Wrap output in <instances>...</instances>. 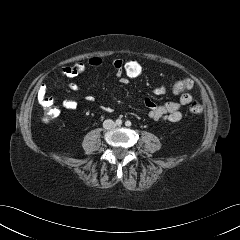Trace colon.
Instances as JSON below:
<instances>
[{"label":"colon","mask_w":240,"mask_h":240,"mask_svg":"<svg viewBox=\"0 0 240 240\" xmlns=\"http://www.w3.org/2000/svg\"><path fill=\"white\" fill-rule=\"evenodd\" d=\"M122 73L123 75L131 79H138L144 74V66L137 58H130L126 61H123L122 64ZM193 87V82L189 78H181L173 83V92L175 94L182 95L187 93ZM189 110L193 114H200L203 112L204 107L196 101H192ZM57 116V111L52 108H48L45 112V120L49 121L54 119Z\"/></svg>","instance_id":"obj_1"}]
</instances>
